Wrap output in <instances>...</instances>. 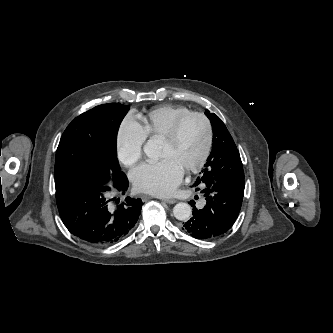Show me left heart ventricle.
Instances as JSON below:
<instances>
[{"label":"left heart ventricle","instance_id":"left-heart-ventricle-1","mask_svg":"<svg viewBox=\"0 0 333 333\" xmlns=\"http://www.w3.org/2000/svg\"><path fill=\"white\" fill-rule=\"evenodd\" d=\"M206 142V128L197 118L189 119L182 127L175 143L164 141L162 158L174 159L183 169L201 156Z\"/></svg>","mask_w":333,"mask_h":333}]
</instances>
